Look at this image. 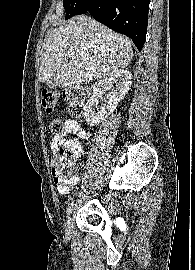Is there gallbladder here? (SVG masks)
<instances>
[{"instance_id":"gallbladder-1","label":"gallbladder","mask_w":195,"mask_h":270,"mask_svg":"<svg viewBox=\"0 0 195 270\" xmlns=\"http://www.w3.org/2000/svg\"><path fill=\"white\" fill-rule=\"evenodd\" d=\"M46 85L48 88L50 89H56L57 88V85L56 83L54 82L53 78H50L49 80L46 81Z\"/></svg>"}]
</instances>
